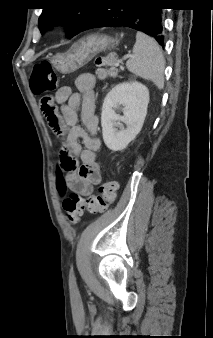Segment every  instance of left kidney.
Returning a JSON list of instances; mask_svg holds the SVG:
<instances>
[{
  "mask_svg": "<svg viewBox=\"0 0 213 338\" xmlns=\"http://www.w3.org/2000/svg\"><path fill=\"white\" fill-rule=\"evenodd\" d=\"M148 103L149 91L137 81L120 83L106 95L102 105L101 126L104 143L110 150L121 151L135 139L143 126ZM120 106L123 107V116L115 112Z\"/></svg>",
  "mask_w": 213,
  "mask_h": 338,
  "instance_id": "obj_1",
  "label": "left kidney"
}]
</instances>
